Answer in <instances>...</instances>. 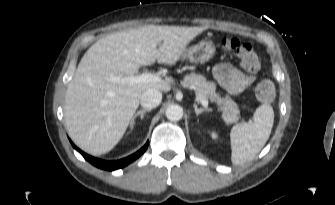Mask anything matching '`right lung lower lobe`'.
<instances>
[{"label":"right lung lower lobe","instance_id":"1","mask_svg":"<svg viewBox=\"0 0 335 205\" xmlns=\"http://www.w3.org/2000/svg\"><path fill=\"white\" fill-rule=\"evenodd\" d=\"M70 142H71L72 146L91 164H93L94 166H96L98 168H101V169H104V170H109V171L125 167L129 163L136 160L138 157H140L146 151V149L148 147V143H149V142H147L139 151H137L136 153H134V154H132V155L126 157V158H123V159H120V160H117V161H105V160H100V159L94 158L90 155H87L86 153H84L80 149H78L72 143L71 140H70Z\"/></svg>","mask_w":335,"mask_h":205}]
</instances>
